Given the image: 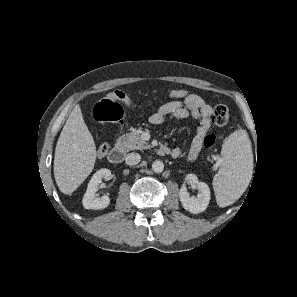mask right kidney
Returning a JSON list of instances; mask_svg holds the SVG:
<instances>
[{"mask_svg": "<svg viewBox=\"0 0 297 297\" xmlns=\"http://www.w3.org/2000/svg\"><path fill=\"white\" fill-rule=\"evenodd\" d=\"M110 176L111 171L109 169H100L92 176L82 199L85 209L100 210L106 208L110 204V198L107 195H104L101 198L95 197L101 180H110Z\"/></svg>", "mask_w": 297, "mask_h": 297, "instance_id": "right-kidney-1", "label": "right kidney"}]
</instances>
